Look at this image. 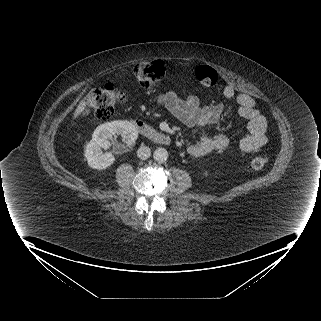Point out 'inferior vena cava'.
Wrapping results in <instances>:
<instances>
[{
    "label": "inferior vena cava",
    "mask_w": 321,
    "mask_h": 321,
    "mask_svg": "<svg viewBox=\"0 0 321 321\" xmlns=\"http://www.w3.org/2000/svg\"><path fill=\"white\" fill-rule=\"evenodd\" d=\"M151 155V149L147 146H141L138 150H137V156L138 158L142 159V160H146L150 157Z\"/></svg>",
    "instance_id": "inferior-vena-cava-1"
}]
</instances>
